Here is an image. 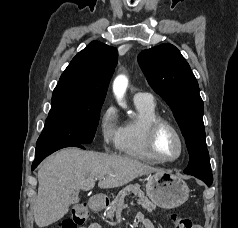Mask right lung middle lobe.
Returning <instances> with one entry per match:
<instances>
[{
    "instance_id": "right-lung-middle-lobe-1",
    "label": "right lung middle lobe",
    "mask_w": 238,
    "mask_h": 228,
    "mask_svg": "<svg viewBox=\"0 0 238 228\" xmlns=\"http://www.w3.org/2000/svg\"><path fill=\"white\" fill-rule=\"evenodd\" d=\"M102 105L49 112L37 146L62 143L88 144L93 141Z\"/></svg>"
}]
</instances>
